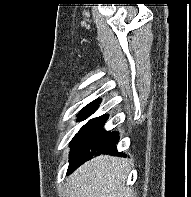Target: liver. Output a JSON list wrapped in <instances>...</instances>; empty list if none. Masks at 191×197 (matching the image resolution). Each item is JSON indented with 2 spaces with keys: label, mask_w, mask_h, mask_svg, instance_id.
<instances>
[{
  "label": "liver",
  "mask_w": 191,
  "mask_h": 197,
  "mask_svg": "<svg viewBox=\"0 0 191 197\" xmlns=\"http://www.w3.org/2000/svg\"><path fill=\"white\" fill-rule=\"evenodd\" d=\"M130 164L128 159L107 155L86 162L70 177V197H133L125 187Z\"/></svg>",
  "instance_id": "obj_1"
}]
</instances>
